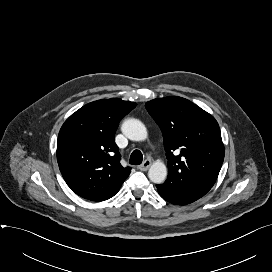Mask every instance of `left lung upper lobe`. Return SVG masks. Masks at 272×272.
Masks as SVG:
<instances>
[{"label":"left lung upper lobe","instance_id":"5c2ea615","mask_svg":"<svg viewBox=\"0 0 272 272\" xmlns=\"http://www.w3.org/2000/svg\"><path fill=\"white\" fill-rule=\"evenodd\" d=\"M159 125L168 159L170 190L191 186L210 190L224 160L220 128L212 115L187 99L170 96L145 104Z\"/></svg>","mask_w":272,"mask_h":272}]
</instances>
